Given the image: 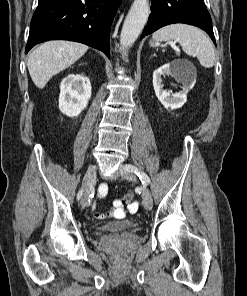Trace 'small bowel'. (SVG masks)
Instances as JSON below:
<instances>
[{"label":"small bowel","mask_w":247,"mask_h":296,"mask_svg":"<svg viewBox=\"0 0 247 296\" xmlns=\"http://www.w3.org/2000/svg\"><path fill=\"white\" fill-rule=\"evenodd\" d=\"M108 193V186H107V184H101L100 185V187H99V189H98V195L100 196V197H103V196H105L106 194ZM94 209L96 208V205L94 204ZM114 207H115V209H114V211L112 212V214L114 215L116 212H122V210H121V206H118L117 205V200H115V202H114ZM130 210H132V211H135V210H137L138 209V204L137 203H134V204H132L130 207ZM123 213V212H122Z\"/></svg>","instance_id":"1"}]
</instances>
